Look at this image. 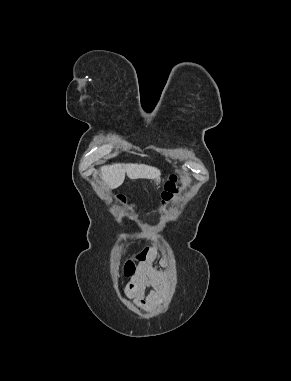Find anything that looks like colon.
<instances>
[{
  "label": "colon",
  "instance_id": "5ec220e1",
  "mask_svg": "<svg viewBox=\"0 0 291 381\" xmlns=\"http://www.w3.org/2000/svg\"><path fill=\"white\" fill-rule=\"evenodd\" d=\"M181 178L178 174L171 175L170 179L165 183L162 192L160 207L165 208L180 193Z\"/></svg>",
  "mask_w": 291,
  "mask_h": 381
}]
</instances>
